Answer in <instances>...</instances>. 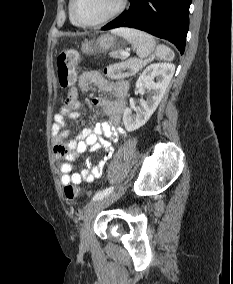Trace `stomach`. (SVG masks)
Returning <instances> with one entry per match:
<instances>
[{
	"instance_id": "obj_1",
	"label": "stomach",
	"mask_w": 233,
	"mask_h": 284,
	"mask_svg": "<svg viewBox=\"0 0 233 284\" xmlns=\"http://www.w3.org/2000/svg\"><path fill=\"white\" fill-rule=\"evenodd\" d=\"M110 49H115V38L110 34H103L96 40L86 41L82 43L81 47L84 54H94L97 51L106 52Z\"/></svg>"
}]
</instances>
